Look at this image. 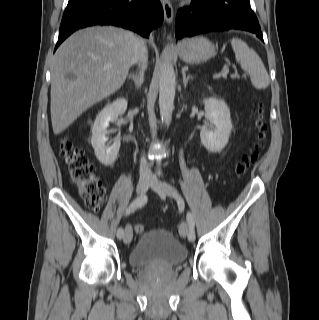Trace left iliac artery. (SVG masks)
I'll return each instance as SVG.
<instances>
[{
	"label": "left iliac artery",
	"instance_id": "obj_1",
	"mask_svg": "<svg viewBox=\"0 0 319 320\" xmlns=\"http://www.w3.org/2000/svg\"><path fill=\"white\" fill-rule=\"evenodd\" d=\"M187 222L189 225V241L193 242L196 238L195 235V221L193 215L188 212L187 214Z\"/></svg>",
	"mask_w": 319,
	"mask_h": 320
}]
</instances>
